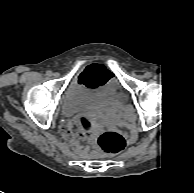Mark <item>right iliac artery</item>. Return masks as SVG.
<instances>
[{
  "label": "right iliac artery",
  "instance_id": "82829eb1",
  "mask_svg": "<svg viewBox=\"0 0 194 193\" xmlns=\"http://www.w3.org/2000/svg\"><path fill=\"white\" fill-rule=\"evenodd\" d=\"M46 75L47 76H51L52 75V71H50V70L46 71Z\"/></svg>",
  "mask_w": 194,
  "mask_h": 193
}]
</instances>
